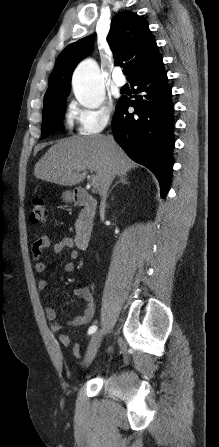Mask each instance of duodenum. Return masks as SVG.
Returning <instances> with one entry per match:
<instances>
[{"mask_svg":"<svg viewBox=\"0 0 219 447\" xmlns=\"http://www.w3.org/2000/svg\"><path fill=\"white\" fill-rule=\"evenodd\" d=\"M76 205L83 208L80 224L75 233V244L79 249L88 248L92 236V220L96 213V200L85 190H78L74 195Z\"/></svg>","mask_w":219,"mask_h":447,"instance_id":"obj_1","label":"duodenum"}]
</instances>
